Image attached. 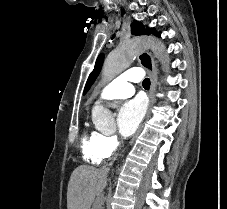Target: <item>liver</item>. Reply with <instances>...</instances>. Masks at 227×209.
<instances>
[{
	"mask_svg": "<svg viewBox=\"0 0 227 209\" xmlns=\"http://www.w3.org/2000/svg\"><path fill=\"white\" fill-rule=\"evenodd\" d=\"M98 177L100 173L97 169L88 165H80L73 171L68 183L67 209H90ZM87 195H89V201L85 203Z\"/></svg>",
	"mask_w": 227,
	"mask_h": 209,
	"instance_id": "6515ba94",
	"label": "liver"
}]
</instances>
